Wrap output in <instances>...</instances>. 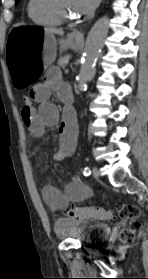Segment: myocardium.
<instances>
[{"instance_id":"obj_1","label":"myocardium","mask_w":148,"mask_h":279,"mask_svg":"<svg viewBox=\"0 0 148 279\" xmlns=\"http://www.w3.org/2000/svg\"><path fill=\"white\" fill-rule=\"evenodd\" d=\"M49 10L61 21V22H74L77 20V16L68 14L61 6L60 0H46Z\"/></svg>"}]
</instances>
